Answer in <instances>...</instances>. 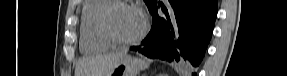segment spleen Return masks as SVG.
<instances>
[{"label":"spleen","mask_w":287,"mask_h":76,"mask_svg":"<svg viewBox=\"0 0 287 76\" xmlns=\"http://www.w3.org/2000/svg\"><path fill=\"white\" fill-rule=\"evenodd\" d=\"M136 60L141 63L142 69H146L148 67V64L146 63L145 60L142 59H136Z\"/></svg>","instance_id":"1"}]
</instances>
